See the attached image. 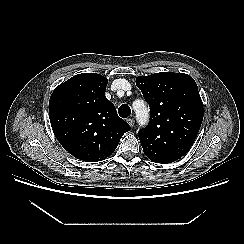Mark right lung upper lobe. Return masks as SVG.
<instances>
[{
	"instance_id": "1",
	"label": "right lung upper lobe",
	"mask_w": 244,
	"mask_h": 244,
	"mask_svg": "<svg viewBox=\"0 0 244 244\" xmlns=\"http://www.w3.org/2000/svg\"><path fill=\"white\" fill-rule=\"evenodd\" d=\"M106 77L77 74L60 84L49 101L53 132L74 157L97 162L109 157L130 126L106 97Z\"/></svg>"
}]
</instances>
